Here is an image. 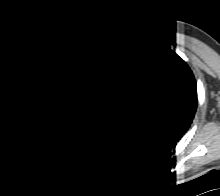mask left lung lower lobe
Listing matches in <instances>:
<instances>
[{
  "instance_id": "obj_1",
  "label": "left lung lower lobe",
  "mask_w": 220,
  "mask_h": 196,
  "mask_svg": "<svg viewBox=\"0 0 220 196\" xmlns=\"http://www.w3.org/2000/svg\"><path fill=\"white\" fill-rule=\"evenodd\" d=\"M140 143L142 145L143 151L146 154H154L158 152L165 151L168 147H164L155 141H153L150 137L142 134L140 137Z\"/></svg>"
}]
</instances>
